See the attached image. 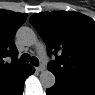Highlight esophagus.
Listing matches in <instances>:
<instances>
[{
	"label": "esophagus",
	"mask_w": 95,
	"mask_h": 95,
	"mask_svg": "<svg viewBox=\"0 0 95 95\" xmlns=\"http://www.w3.org/2000/svg\"><path fill=\"white\" fill-rule=\"evenodd\" d=\"M36 70L39 72H42L45 70V66L43 64H41L40 66L36 67Z\"/></svg>",
	"instance_id": "esophagus-1"
}]
</instances>
